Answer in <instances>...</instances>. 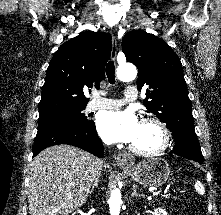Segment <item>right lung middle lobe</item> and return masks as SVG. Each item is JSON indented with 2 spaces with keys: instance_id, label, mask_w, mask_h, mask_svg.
Here are the masks:
<instances>
[{
  "instance_id": "1",
  "label": "right lung middle lobe",
  "mask_w": 221,
  "mask_h": 215,
  "mask_svg": "<svg viewBox=\"0 0 221 215\" xmlns=\"http://www.w3.org/2000/svg\"><path fill=\"white\" fill-rule=\"evenodd\" d=\"M85 107L56 114L39 116L38 129L61 124H85L90 120L83 113Z\"/></svg>"
}]
</instances>
